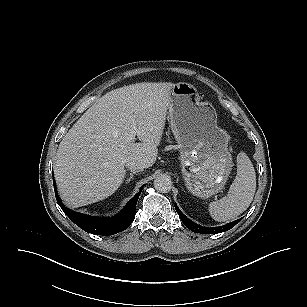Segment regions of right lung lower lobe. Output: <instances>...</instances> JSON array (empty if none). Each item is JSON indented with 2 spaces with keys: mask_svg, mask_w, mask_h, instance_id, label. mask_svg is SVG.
Returning a JSON list of instances; mask_svg holds the SVG:
<instances>
[{
  "mask_svg": "<svg viewBox=\"0 0 307 307\" xmlns=\"http://www.w3.org/2000/svg\"><path fill=\"white\" fill-rule=\"evenodd\" d=\"M142 189L143 187L128 202L121 213L113 218H103L77 213L65 207L57 195L56 185L54 183L55 196L63 212L81 229L96 235H113L125 230L135 218L136 204Z\"/></svg>",
  "mask_w": 307,
  "mask_h": 307,
  "instance_id": "98d812e1",
  "label": "right lung lower lobe"
}]
</instances>
